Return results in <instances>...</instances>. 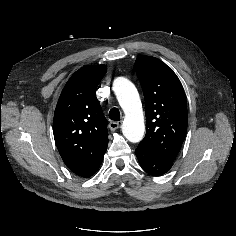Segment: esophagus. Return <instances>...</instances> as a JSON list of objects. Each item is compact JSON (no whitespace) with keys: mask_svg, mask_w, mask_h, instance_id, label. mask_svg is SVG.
Instances as JSON below:
<instances>
[{"mask_svg":"<svg viewBox=\"0 0 236 236\" xmlns=\"http://www.w3.org/2000/svg\"><path fill=\"white\" fill-rule=\"evenodd\" d=\"M119 126H120V124L117 121H111L109 123V128H110L111 131H115L116 129L119 128Z\"/></svg>","mask_w":236,"mask_h":236,"instance_id":"34e87169","label":"esophagus"}]
</instances>
